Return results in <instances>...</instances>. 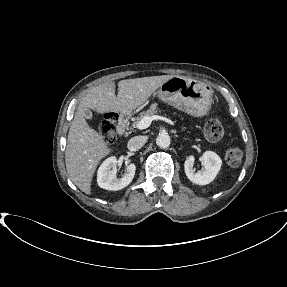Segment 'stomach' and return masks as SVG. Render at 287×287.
I'll return each mask as SVG.
<instances>
[{"instance_id": "stomach-1", "label": "stomach", "mask_w": 287, "mask_h": 287, "mask_svg": "<svg viewBox=\"0 0 287 287\" xmlns=\"http://www.w3.org/2000/svg\"><path fill=\"white\" fill-rule=\"evenodd\" d=\"M159 99L193 116L207 114L212 104L211 87L199 80L173 76L157 89Z\"/></svg>"}]
</instances>
